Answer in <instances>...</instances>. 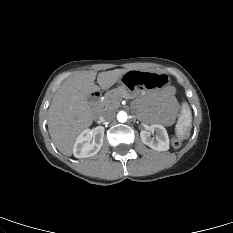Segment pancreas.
Segmentation results:
<instances>
[{
  "label": "pancreas",
  "instance_id": "pancreas-1",
  "mask_svg": "<svg viewBox=\"0 0 233 233\" xmlns=\"http://www.w3.org/2000/svg\"><path fill=\"white\" fill-rule=\"evenodd\" d=\"M122 98H131L125 88L119 87L117 89L111 90L105 94L102 106L106 110H114L119 107Z\"/></svg>",
  "mask_w": 233,
  "mask_h": 233
}]
</instances>
